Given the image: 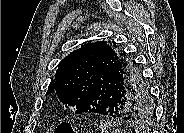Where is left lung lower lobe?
Segmentation results:
<instances>
[{
    "mask_svg": "<svg viewBox=\"0 0 184 133\" xmlns=\"http://www.w3.org/2000/svg\"><path fill=\"white\" fill-rule=\"evenodd\" d=\"M98 68L101 72L96 76L89 99L87 98L75 113H97L134 124V117L128 111V108L133 106L132 97L138 91L147 92L140 82V77H137V86L128 85L119 68L108 59L104 51L100 53ZM135 126L140 128L136 124Z\"/></svg>",
    "mask_w": 184,
    "mask_h": 133,
    "instance_id": "0a47b994",
    "label": "left lung lower lobe"
}]
</instances>
